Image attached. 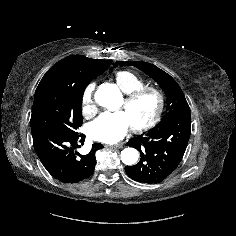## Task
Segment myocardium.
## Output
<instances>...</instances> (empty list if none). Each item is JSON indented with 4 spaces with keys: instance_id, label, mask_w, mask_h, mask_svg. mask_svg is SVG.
Segmentation results:
<instances>
[{
    "instance_id": "1",
    "label": "myocardium",
    "mask_w": 236,
    "mask_h": 236,
    "mask_svg": "<svg viewBox=\"0 0 236 236\" xmlns=\"http://www.w3.org/2000/svg\"><path fill=\"white\" fill-rule=\"evenodd\" d=\"M146 94H152L156 98L157 101L156 110L153 116L145 123L139 125H132V129L136 132H144L153 128L160 121L164 111L165 96L160 89L153 86H144L142 88H139L126 94L124 98V104L130 105Z\"/></svg>"
}]
</instances>
